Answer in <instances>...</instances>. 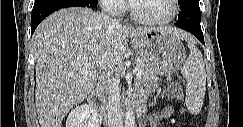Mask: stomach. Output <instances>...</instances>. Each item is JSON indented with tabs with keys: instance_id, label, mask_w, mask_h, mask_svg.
Returning a JSON list of instances; mask_svg holds the SVG:
<instances>
[{
	"instance_id": "stomach-1",
	"label": "stomach",
	"mask_w": 243,
	"mask_h": 127,
	"mask_svg": "<svg viewBox=\"0 0 243 127\" xmlns=\"http://www.w3.org/2000/svg\"><path fill=\"white\" fill-rule=\"evenodd\" d=\"M139 57L157 75L172 74L185 62L186 51L177 36L164 30H153L132 39Z\"/></svg>"
}]
</instances>
